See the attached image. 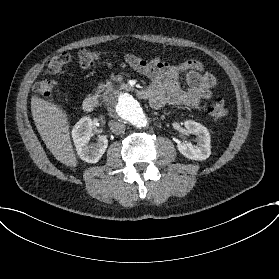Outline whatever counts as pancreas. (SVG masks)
<instances>
[{
    "mask_svg": "<svg viewBox=\"0 0 279 279\" xmlns=\"http://www.w3.org/2000/svg\"><path fill=\"white\" fill-rule=\"evenodd\" d=\"M112 88V83L111 82H107L106 84L100 83L98 85V92H103L104 90H108Z\"/></svg>",
    "mask_w": 279,
    "mask_h": 279,
    "instance_id": "1",
    "label": "pancreas"
}]
</instances>
